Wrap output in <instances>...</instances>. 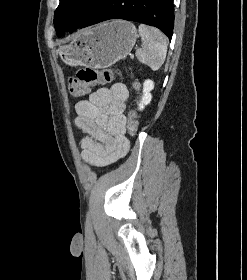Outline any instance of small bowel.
I'll return each mask as SVG.
<instances>
[{"label":"small bowel","instance_id":"c3829d8e","mask_svg":"<svg viewBox=\"0 0 247 280\" xmlns=\"http://www.w3.org/2000/svg\"><path fill=\"white\" fill-rule=\"evenodd\" d=\"M129 96L123 83L102 87L87 100L79 101L76 125L86 135L81 139L82 158L97 167L106 166L126 155L125 102Z\"/></svg>","mask_w":247,"mask_h":280}]
</instances>
